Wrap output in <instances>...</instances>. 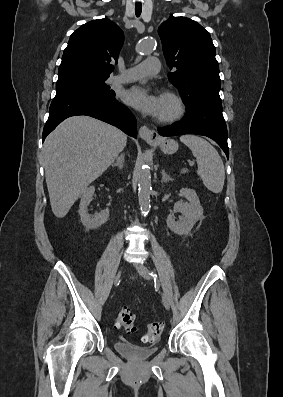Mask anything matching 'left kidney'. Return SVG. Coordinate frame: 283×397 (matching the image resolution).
<instances>
[{
  "mask_svg": "<svg viewBox=\"0 0 283 397\" xmlns=\"http://www.w3.org/2000/svg\"><path fill=\"white\" fill-rule=\"evenodd\" d=\"M180 196L188 200V203L178 201L175 203L173 212L167 217L168 228L178 235L188 234L195 223L203 218V208L200 205L196 192L190 188H182ZM180 212L183 215L181 221H175L174 213Z\"/></svg>",
  "mask_w": 283,
  "mask_h": 397,
  "instance_id": "left-kidney-1",
  "label": "left kidney"
}]
</instances>
